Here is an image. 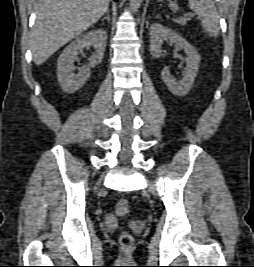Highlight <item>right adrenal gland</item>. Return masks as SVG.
<instances>
[{
  "label": "right adrenal gland",
  "instance_id": "obj_1",
  "mask_svg": "<svg viewBox=\"0 0 254 267\" xmlns=\"http://www.w3.org/2000/svg\"><path fill=\"white\" fill-rule=\"evenodd\" d=\"M107 20L108 22H110V14H109V10H107L106 12V16L102 19V21Z\"/></svg>",
  "mask_w": 254,
  "mask_h": 267
}]
</instances>
